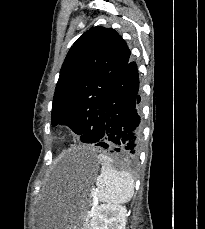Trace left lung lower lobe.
I'll return each instance as SVG.
<instances>
[{
    "label": "left lung lower lobe",
    "mask_w": 205,
    "mask_h": 229,
    "mask_svg": "<svg viewBox=\"0 0 205 229\" xmlns=\"http://www.w3.org/2000/svg\"><path fill=\"white\" fill-rule=\"evenodd\" d=\"M140 100L137 65L129 61L109 92L101 125L87 131V143L120 152L125 161L136 160L141 135Z\"/></svg>",
    "instance_id": "left-lung-lower-lobe-1"
}]
</instances>
